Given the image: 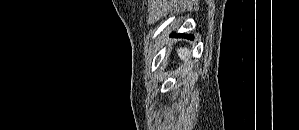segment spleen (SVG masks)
Listing matches in <instances>:
<instances>
[{
	"mask_svg": "<svg viewBox=\"0 0 299 130\" xmlns=\"http://www.w3.org/2000/svg\"><path fill=\"white\" fill-rule=\"evenodd\" d=\"M177 54L182 61H185L190 56V50L186 47H181L177 49Z\"/></svg>",
	"mask_w": 299,
	"mask_h": 130,
	"instance_id": "spleen-1",
	"label": "spleen"
}]
</instances>
